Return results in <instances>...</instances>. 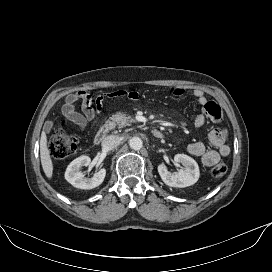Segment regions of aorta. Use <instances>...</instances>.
Listing matches in <instances>:
<instances>
[{"mask_svg":"<svg viewBox=\"0 0 272 272\" xmlns=\"http://www.w3.org/2000/svg\"><path fill=\"white\" fill-rule=\"evenodd\" d=\"M129 146L133 150H140L143 147V142L141 138L135 136L129 140Z\"/></svg>","mask_w":272,"mask_h":272,"instance_id":"1","label":"aorta"}]
</instances>
